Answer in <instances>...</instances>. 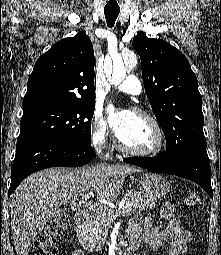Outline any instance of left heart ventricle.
I'll return each mask as SVG.
<instances>
[{
  "mask_svg": "<svg viewBox=\"0 0 221 255\" xmlns=\"http://www.w3.org/2000/svg\"><path fill=\"white\" fill-rule=\"evenodd\" d=\"M121 142L132 149L148 150L156 144V132L145 118L129 113L125 126L117 133Z\"/></svg>",
  "mask_w": 221,
  "mask_h": 255,
  "instance_id": "left-heart-ventricle-1",
  "label": "left heart ventricle"
}]
</instances>
